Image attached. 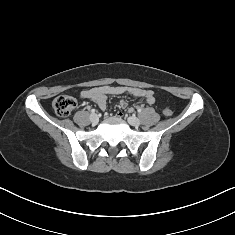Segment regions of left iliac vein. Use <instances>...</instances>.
Returning <instances> with one entry per match:
<instances>
[{"mask_svg": "<svg viewBox=\"0 0 235 235\" xmlns=\"http://www.w3.org/2000/svg\"><path fill=\"white\" fill-rule=\"evenodd\" d=\"M128 123L130 125H132V126H136L137 127V126L140 125V120L137 117H135V116H130L128 118Z\"/></svg>", "mask_w": 235, "mask_h": 235, "instance_id": "4c4485c4", "label": "left iliac vein"}]
</instances>
